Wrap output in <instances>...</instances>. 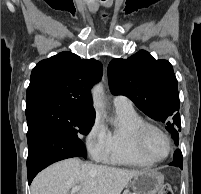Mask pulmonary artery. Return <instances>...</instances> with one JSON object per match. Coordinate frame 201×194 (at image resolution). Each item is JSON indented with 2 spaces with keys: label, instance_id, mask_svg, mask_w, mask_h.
<instances>
[{
  "label": "pulmonary artery",
  "instance_id": "obj_1",
  "mask_svg": "<svg viewBox=\"0 0 201 194\" xmlns=\"http://www.w3.org/2000/svg\"><path fill=\"white\" fill-rule=\"evenodd\" d=\"M113 103L115 106L132 107L131 100L125 96H122V95L114 96Z\"/></svg>",
  "mask_w": 201,
  "mask_h": 194
}]
</instances>
